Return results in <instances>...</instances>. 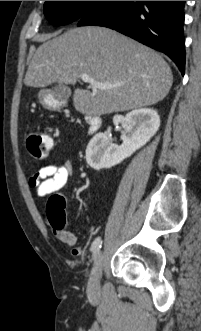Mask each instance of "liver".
Here are the masks:
<instances>
[{
	"label": "liver",
	"mask_w": 201,
	"mask_h": 331,
	"mask_svg": "<svg viewBox=\"0 0 201 331\" xmlns=\"http://www.w3.org/2000/svg\"><path fill=\"white\" fill-rule=\"evenodd\" d=\"M82 74L102 83H124L92 92L77 88L73 105L88 116L154 105L167 96L173 82L169 65L157 52L108 28L89 26L44 38L24 83L36 88L56 82L74 85Z\"/></svg>",
	"instance_id": "obj_1"
}]
</instances>
